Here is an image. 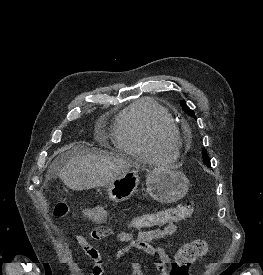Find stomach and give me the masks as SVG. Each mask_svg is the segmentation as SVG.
Returning <instances> with one entry per match:
<instances>
[{
    "label": "stomach",
    "instance_id": "obj_1",
    "mask_svg": "<svg viewBox=\"0 0 263 275\" xmlns=\"http://www.w3.org/2000/svg\"><path fill=\"white\" fill-rule=\"evenodd\" d=\"M140 166L131 167L123 175L111 181L107 192L109 199L118 203L129 199L137 190L140 182ZM148 194L160 203H173L188 192L189 181L186 176L168 166H156L147 174Z\"/></svg>",
    "mask_w": 263,
    "mask_h": 275
}]
</instances>
